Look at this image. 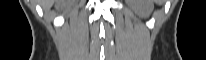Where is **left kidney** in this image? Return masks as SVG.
Instances as JSON below:
<instances>
[{"label":"left kidney","instance_id":"left-kidney-1","mask_svg":"<svg viewBox=\"0 0 206 60\" xmlns=\"http://www.w3.org/2000/svg\"><path fill=\"white\" fill-rule=\"evenodd\" d=\"M135 12L141 17H148L153 9L152 0L130 1Z\"/></svg>","mask_w":206,"mask_h":60}]
</instances>
